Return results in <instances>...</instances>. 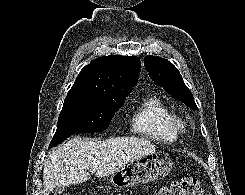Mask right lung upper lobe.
I'll list each match as a JSON object with an SVG mask.
<instances>
[{"label":"right lung upper lobe","instance_id":"right-lung-upper-lobe-1","mask_svg":"<svg viewBox=\"0 0 245 195\" xmlns=\"http://www.w3.org/2000/svg\"><path fill=\"white\" fill-rule=\"evenodd\" d=\"M140 70V59L135 56L99 57L81 70L68 95L125 99L137 84Z\"/></svg>","mask_w":245,"mask_h":195}]
</instances>
